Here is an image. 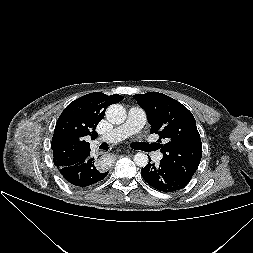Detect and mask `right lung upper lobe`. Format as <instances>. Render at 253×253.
<instances>
[{
	"label": "right lung upper lobe",
	"instance_id": "right-lung-upper-lobe-1",
	"mask_svg": "<svg viewBox=\"0 0 253 253\" xmlns=\"http://www.w3.org/2000/svg\"><path fill=\"white\" fill-rule=\"evenodd\" d=\"M123 100L121 95L94 92L71 102L61 113L52 138L53 161L57 168L71 166L90 157L85 136L97 137V124L106 108Z\"/></svg>",
	"mask_w": 253,
	"mask_h": 253
}]
</instances>
